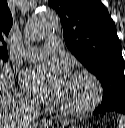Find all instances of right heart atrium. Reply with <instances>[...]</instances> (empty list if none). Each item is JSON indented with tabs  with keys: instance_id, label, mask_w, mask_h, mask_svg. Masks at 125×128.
I'll return each mask as SVG.
<instances>
[{
	"instance_id": "right-heart-atrium-1",
	"label": "right heart atrium",
	"mask_w": 125,
	"mask_h": 128,
	"mask_svg": "<svg viewBox=\"0 0 125 128\" xmlns=\"http://www.w3.org/2000/svg\"><path fill=\"white\" fill-rule=\"evenodd\" d=\"M21 103L23 104V106L29 107V108L35 107L36 105L34 100H32L31 98L27 96H21Z\"/></svg>"
}]
</instances>
